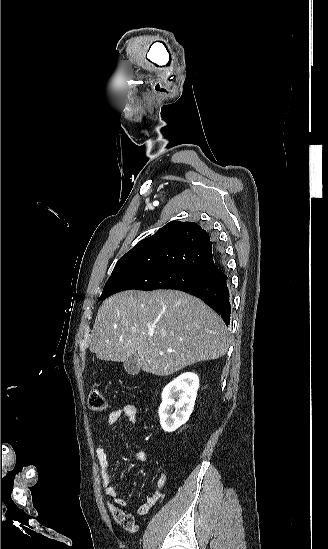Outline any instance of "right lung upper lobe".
I'll list each match as a JSON object with an SVG mask.
<instances>
[{"label":"right lung upper lobe","mask_w":328,"mask_h":549,"mask_svg":"<svg viewBox=\"0 0 328 549\" xmlns=\"http://www.w3.org/2000/svg\"><path fill=\"white\" fill-rule=\"evenodd\" d=\"M221 263L206 230L197 223L171 221L122 256L113 272L131 266H160L215 278L221 273Z\"/></svg>","instance_id":"obj_1"}]
</instances>
